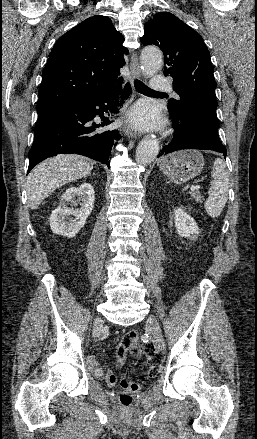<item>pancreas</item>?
Listing matches in <instances>:
<instances>
[{"mask_svg":"<svg viewBox=\"0 0 257 439\" xmlns=\"http://www.w3.org/2000/svg\"><path fill=\"white\" fill-rule=\"evenodd\" d=\"M192 198L196 201V202H202L203 200V196H201L199 193L194 192L192 193Z\"/></svg>","mask_w":257,"mask_h":439,"instance_id":"cf45deb5","label":"pancreas"}]
</instances>
